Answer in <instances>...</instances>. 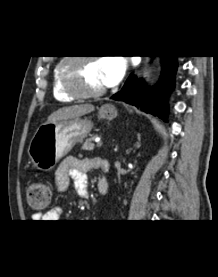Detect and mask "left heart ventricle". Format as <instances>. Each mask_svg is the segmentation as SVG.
Here are the masks:
<instances>
[{"mask_svg":"<svg viewBox=\"0 0 218 277\" xmlns=\"http://www.w3.org/2000/svg\"><path fill=\"white\" fill-rule=\"evenodd\" d=\"M77 73L83 90L93 91L105 87L97 61L91 60L83 63L77 67Z\"/></svg>","mask_w":218,"mask_h":277,"instance_id":"left-heart-ventricle-1","label":"left heart ventricle"}]
</instances>
